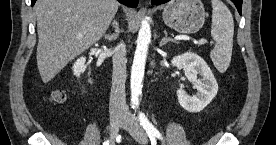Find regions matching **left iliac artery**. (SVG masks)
Masks as SVG:
<instances>
[{
  "instance_id": "44dca946",
  "label": "left iliac artery",
  "mask_w": 276,
  "mask_h": 145,
  "mask_svg": "<svg viewBox=\"0 0 276 145\" xmlns=\"http://www.w3.org/2000/svg\"><path fill=\"white\" fill-rule=\"evenodd\" d=\"M138 118H139L140 124L146 130V133L148 134L149 138H158L160 140H163L161 133L148 120V118L145 116L144 113L139 112Z\"/></svg>"
}]
</instances>
